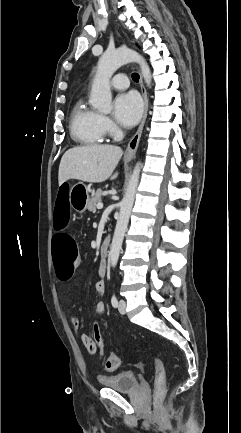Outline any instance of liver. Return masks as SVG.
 <instances>
[{"instance_id": "6515ba94", "label": "liver", "mask_w": 241, "mask_h": 433, "mask_svg": "<svg viewBox=\"0 0 241 433\" xmlns=\"http://www.w3.org/2000/svg\"><path fill=\"white\" fill-rule=\"evenodd\" d=\"M122 154V149L113 145H88L69 149L60 161L59 185L69 179L89 183L116 179L118 173L112 174Z\"/></svg>"}]
</instances>
